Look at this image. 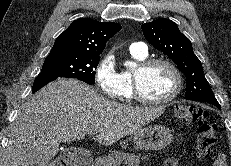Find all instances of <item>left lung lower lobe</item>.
Segmentation results:
<instances>
[{"label": "left lung lower lobe", "instance_id": "0a47b994", "mask_svg": "<svg viewBox=\"0 0 231 166\" xmlns=\"http://www.w3.org/2000/svg\"><path fill=\"white\" fill-rule=\"evenodd\" d=\"M207 103L213 104L216 107H218L219 109H221V106L219 105L218 101H207Z\"/></svg>", "mask_w": 231, "mask_h": 166}]
</instances>
